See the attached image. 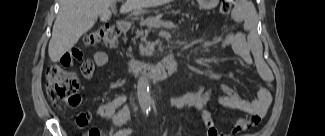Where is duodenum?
Masks as SVG:
<instances>
[{"instance_id":"duodenum-1","label":"duodenum","mask_w":325,"mask_h":136,"mask_svg":"<svg viewBox=\"0 0 325 136\" xmlns=\"http://www.w3.org/2000/svg\"><path fill=\"white\" fill-rule=\"evenodd\" d=\"M118 27L121 31H126L129 28V23L126 20H121L118 22ZM179 67L180 64L176 52H171L161 63L156 65L140 61H131L128 64V68L132 73L148 75L154 78H162L169 73L177 71Z\"/></svg>"}]
</instances>
